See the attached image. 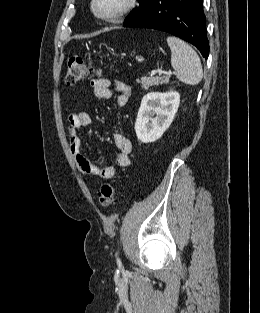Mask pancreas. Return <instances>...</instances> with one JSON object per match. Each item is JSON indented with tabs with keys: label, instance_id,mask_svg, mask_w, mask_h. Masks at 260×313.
Listing matches in <instances>:
<instances>
[{
	"label": "pancreas",
	"instance_id": "obj_1",
	"mask_svg": "<svg viewBox=\"0 0 260 313\" xmlns=\"http://www.w3.org/2000/svg\"><path fill=\"white\" fill-rule=\"evenodd\" d=\"M141 84V87L148 90L149 87L158 86L159 84H167L169 82L168 76L163 77H142L141 80H137Z\"/></svg>",
	"mask_w": 260,
	"mask_h": 313
}]
</instances>
